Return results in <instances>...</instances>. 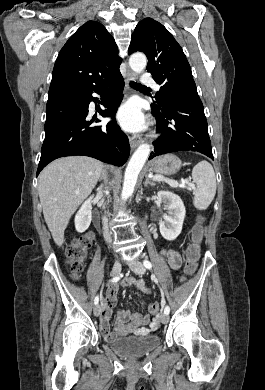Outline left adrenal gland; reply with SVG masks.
<instances>
[{"label": "left adrenal gland", "mask_w": 265, "mask_h": 390, "mask_svg": "<svg viewBox=\"0 0 265 390\" xmlns=\"http://www.w3.org/2000/svg\"><path fill=\"white\" fill-rule=\"evenodd\" d=\"M145 182H144V186H147L148 184L151 185V186H155V183L153 181H151L148 177V175L145 176Z\"/></svg>", "instance_id": "a2214340"}]
</instances>
